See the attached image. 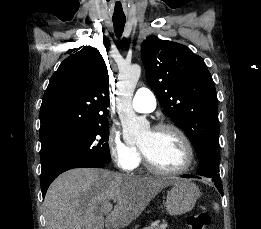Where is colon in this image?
Segmentation results:
<instances>
[{"mask_svg": "<svg viewBox=\"0 0 261 229\" xmlns=\"http://www.w3.org/2000/svg\"><path fill=\"white\" fill-rule=\"evenodd\" d=\"M211 216L205 211H196L191 213L186 220L187 229H209L211 225Z\"/></svg>", "mask_w": 261, "mask_h": 229, "instance_id": "1", "label": "colon"}]
</instances>
